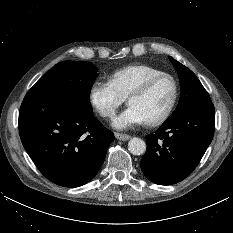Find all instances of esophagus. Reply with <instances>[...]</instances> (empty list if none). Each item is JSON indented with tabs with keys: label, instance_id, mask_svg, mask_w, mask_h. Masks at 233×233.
<instances>
[{
	"label": "esophagus",
	"instance_id": "obj_1",
	"mask_svg": "<svg viewBox=\"0 0 233 233\" xmlns=\"http://www.w3.org/2000/svg\"><path fill=\"white\" fill-rule=\"evenodd\" d=\"M115 137L118 139V140H122V141H127L131 138L130 135L128 134H123V133H115Z\"/></svg>",
	"mask_w": 233,
	"mask_h": 233
}]
</instances>
